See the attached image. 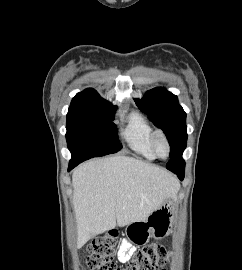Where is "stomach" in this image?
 <instances>
[{
  "label": "stomach",
  "instance_id": "0dacf381",
  "mask_svg": "<svg viewBox=\"0 0 242 270\" xmlns=\"http://www.w3.org/2000/svg\"><path fill=\"white\" fill-rule=\"evenodd\" d=\"M174 221V204L166 199L146 219L128 224L125 230L126 236L130 242L136 245H144L152 237L155 239L167 237L172 231Z\"/></svg>",
  "mask_w": 242,
  "mask_h": 270
}]
</instances>
